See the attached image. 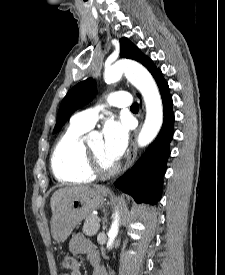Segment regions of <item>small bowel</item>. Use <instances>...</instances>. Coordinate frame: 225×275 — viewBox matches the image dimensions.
<instances>
[{"instance_id": "obj_1", "label": "small bowel", "mask_w": 225, "mask_h": 275, "mask_svg": "<svg viewBox=\"0 0 225 275\" xmlns=\"http://www.w3.org/2000/svg\"><path fill=\"white\" fill-rule=\"evenodd\" d=\"M69 249L71 253L77 255H86L91 263L94 262L99 263V253L94 244H92L83 234L78 233L72 236ZM61 275H82L79 270L73 271L70 273H63ZM93 275H107V272L104 267L100 266L99 264L95 266L93 270Z\"/></svg>"}]
</instances>
